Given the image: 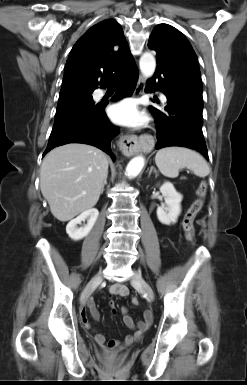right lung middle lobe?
<instances>
[{
	"label": "right lung middle lobe",
	"instance_id": "obj_1",
	"mask_svg": "<svg viewBox=\"0 0 247 385\" xmlns=\"http://www.w3.org/2000/svg\"><path fill=\"white\" fill-rule=\"evenodd\" d=\"M93 90L86 89H71L61 91L57 105L56 113L63 112L70 108L83 104H93V97L91 96Z\"/></svg>",
	"mask_w": 247,
	"mask_h": 385
}]
</instances>
